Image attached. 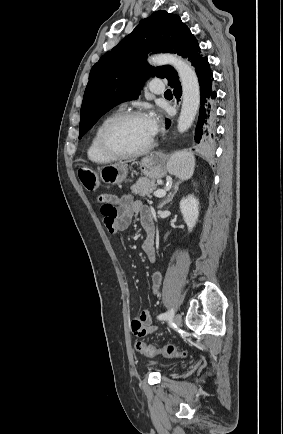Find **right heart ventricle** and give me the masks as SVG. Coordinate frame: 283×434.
Wrapping results in <instances>:
<instances>
[{
  "label": "right heart ventricle",
  "instance_id": "right-heart-ventricle-1",
  "mask_svg": "<svg viewBox=\"0 0 283 434\" xmlns=\"http://www.w3.org/2000/svg\"><path fill=\"white\" fill-rule=\"evenodd\" d=\"M116 114H112L109 115L107 117H105L95 128L90 142L88 144V148H87V156L89 158L90 161L97 163V164H107L110 163L112 161H114L115 159L105 155L98 144V134L99 131L101 130L102 126L113 116H115Z\"/></svg>",
  "mask_w": 283,
  "mask_h": 434
}]
</instances>
